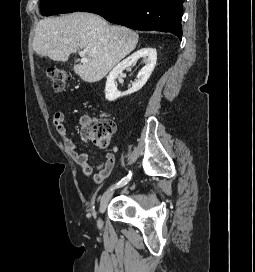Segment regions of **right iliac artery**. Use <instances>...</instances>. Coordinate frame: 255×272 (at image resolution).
Here are the masks:
<instances>
[{"instance_id":"82829eb1","label":"right iliac artery","mask_w":255,"mask_h":272,"mask_svg":"<svg viewBox=\"0 0 255 272\" xmlns=\"http://www.w3.org/2000/svg\"><path fill=\"white\" fill-rule=\"evenodd\" d=\"M131 177H132V172L129 171L128 175L126 177H124L121 181H119L118 183L113 185L111 187V189L123 187L124 185H126L130 181Z\"/></svg>"}]
</instances>
